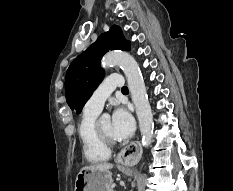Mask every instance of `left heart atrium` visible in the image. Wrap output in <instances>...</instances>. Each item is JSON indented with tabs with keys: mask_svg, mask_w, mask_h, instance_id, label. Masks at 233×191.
<instances>
[{
	"mask_svg": "<svg viewBox=\"0 0 233 191\" xmlns=\"http://www.w3.org/2000/svg\"><path fill=\"white\" fill-rule=\"evenodd\" d=\"M112 136L117 140H123L132 135L135 129V121L130 112L123 108H116L111 120Z\"/></svg>",
	"mask_w": 233,
	"mask_h": 191,
	"instance_id": "obj_1",
	"label": "left heart atrium"
}]
</instances>
